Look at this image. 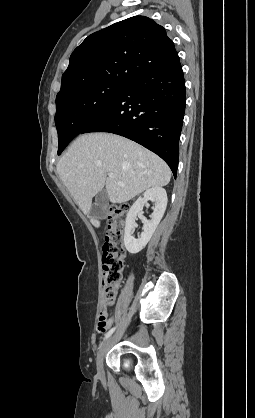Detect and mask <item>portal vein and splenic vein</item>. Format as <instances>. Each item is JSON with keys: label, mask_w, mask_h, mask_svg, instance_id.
I'll return each mask as SVG.
<instances>
[{"label": "portal vein and splenic vein", "mask_w": 255, "mask_h": 418, "mask_svg": "<svg viewBox=\"0 0 255 418\" xmlns=\"http://www.w3.org/2000/svg\"><path fill=\"white\" fill-rule=\"evenodd\" d=\"M108 176H109L110 178H113V177H114V174H113V173H109V174H108ZM118 184H119L120 186H124V184H123L122 182H118Z\"/></svg>", "instance_id": "obj_1"}]
</instances>
